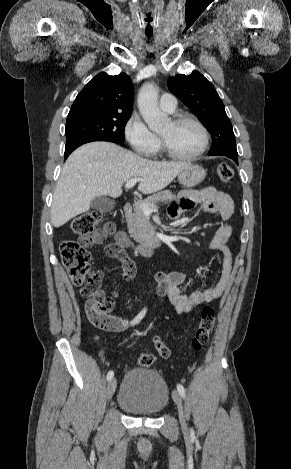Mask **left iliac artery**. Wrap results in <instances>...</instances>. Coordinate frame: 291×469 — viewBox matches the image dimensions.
I'll return each mask as SVG.
<instances>
[{"label":"left iliac artery","mask_w":291,"mask_h":469,"mask_svg":"<svg viewBox=\"0 0 291 469\" xmlns=\"http://www.w3.org/2000/svg\"><path fill=\"white\" fill-rule=\"evenodd\" d=\"M177 390H178V392L180 393V395H181L183 398H185V395H186V393H185V388H184L181 384H178V385H177Z\"/></svg>","instance_id":"obj_1"}]
</instances>
